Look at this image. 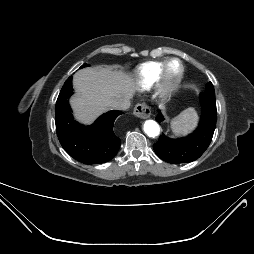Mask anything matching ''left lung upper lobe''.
<instances>
[{
    "label": "left lung upper lobe",
    "mask_w": 254,
    "mask_h": 254,
    "mask_svg": "<svg viewBox=\"0 0 254 254\" xmlns=\"http://www.w3.org/2000/svg\"><path fill=\"white\" fill-rule=\"evenodd\" d=\"M205 91H207V92H215L214 88H213V84L211 82L206 84Z\"/></svg>",
    "instance_id": "obj_1"
}]
</instances>
